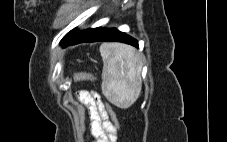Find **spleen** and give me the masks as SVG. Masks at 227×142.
Returning a JSON list of instances; mask_svg holds the SVG:
<instances>
[{
  "label": "spleen",
  "mask_w": 227,
  "mask_h": 142,
  "mask_svg": "<svg viewBox=\"0 0 227 142\" xmlns=\"http://www.w3.org/2000/svg\"><path fill=\"white\" fill-rule=\"evenodd\" d=\"M103 60L102 92L114 105L128 108L138 99L141 88L142 57L131 46L104 43L100 46Z\"/></svg>",
  "instance_id": "1"
}]
</instances>
